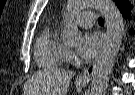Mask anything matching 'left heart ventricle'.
<instances>
[{
	"label": "left heart ventricle",
	"instance_id": "b2bd125f",
	"mask_svg": "<svg viewBox=\"0 0 135 95\" xmlns=\"http://www.w3.org/2000/svg\"><path fill=\"white\" fill-rule=\"evenodd\" d=\"M78 28L84 29V28H86V26L80 25V26H78Z\"/></svg>",
	"mask_w": 135,
	"mask_h": 95
}]
</instances>
